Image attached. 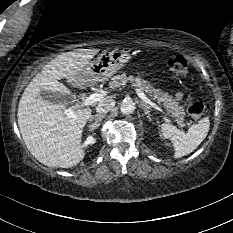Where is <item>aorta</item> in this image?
Listing matches in <instances>:
<instances>
[{
  "instance_id": "aorta-1",
  "label": "aorta",
  "mask_w": 233,
  "mask_h": 233,
  "mask_svg": "<svg viewBox=\"0 0 233 233\" xmlns=\"http://www.w3.org/2000/svg\"><path fill=\"white\" fill-rule=\"evenodd\" d=\"M135 110V103L132 100H124L120 106L122 114H131Z\"/></svg>"
}]
</instances>
